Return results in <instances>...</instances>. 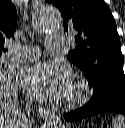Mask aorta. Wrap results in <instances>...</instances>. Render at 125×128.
<instances>
[{
    "instance_id": "aorta-1",
    "label": "aorta",
    "mask_w": 125,
    "mask_h": 128,
    "mask_svg": "<svg viewBox=\"0 0 125 128\" xmlns=\"http://www.w3.org/2000/svg\"><path fill=\"white\" fill-rule=\"evenodd\" d=\"M61 14L52 5L46 4L36 10L33 19V26L38 32L55 31L61 25ZM41 128H63L62 120L59 116H50Z\"/></svg>"
}]
</instances>
